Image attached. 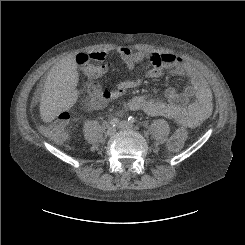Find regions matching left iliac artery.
Wrapping results in <instances>:
<instances>
[{
    "label": "left iliac artery",
    "mask_w": 245,
    "mask_h": 245,
    "mask_svg": "<svg viewBox=\"0 0 245 245\" xmlns=\"http://www.w3.org/2000/svg\"><path fill=\"white\" fill-rule=\"evenodd\" d=\"M128 122L135 123L136 119L133 116L128 117Z\"/></svg>",
    "instance_id": "left-iliac-artery-1"
}]
</instances>
